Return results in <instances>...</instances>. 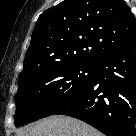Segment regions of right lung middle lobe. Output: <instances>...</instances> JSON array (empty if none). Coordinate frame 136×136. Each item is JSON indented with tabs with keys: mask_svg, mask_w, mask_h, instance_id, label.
Returning <instances> with one entry per match:
<instances>
[{
	"mask_svg": "<svg viewBox=\"0 0 136 136\" xmlns=\"http://www.w3.org/2000/svg\"><path fill=\"white\" fill-rule=\"evenodd\" d=\"M94 69L93 63L56 65L19 82L15 126L50 116L89 85Z\"/></svg>",
	"mask_w": 136,
	"mask_h": 136,
	"instance_id": "1",
	"label": "right lung middle lobe"
}]
</instances>
